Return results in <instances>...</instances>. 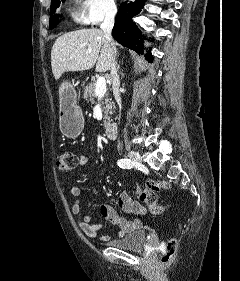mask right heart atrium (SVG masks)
<instances>
[{
  "mask_svg": "<svg viewBox=\"0 0 240 281\" xmlns=\"http://www.w3.org/2000/svg\"><path fill=\"white\" fill-rule=\"evenodd\" d=\"M83 13L88 23L97 25L117 13L115 0H83Z\"/></svg>",
  "mask_w": 240,
  "mask_h": 281,
  "instance_id": "1",
  "label": "right heart atrium"
}]
</instances>
